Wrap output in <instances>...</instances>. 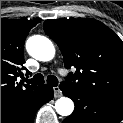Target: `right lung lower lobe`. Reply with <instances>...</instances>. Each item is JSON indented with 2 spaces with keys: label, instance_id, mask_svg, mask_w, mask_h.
Returning a JSON list of instances; mask_svg holds the SVG:
<instances>
[{
  "label": "right lung lower lobe",
  "instance_id": "obj_1",
  "mask_svg": "<svg viewBox=\"0 0 123 123\" xmlns=\"http://www.w3.org/2000/svg\"><path fill=\"white\" fill-rule=\"evenodd\" d=\"M53 98V88L42 85L27 101L1 111V123H34L37 110Z\"/></svg>",
  "mask_w": 123,
  "mask_h": 123
}]
</instances>
